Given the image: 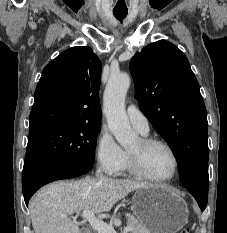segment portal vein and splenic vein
<instances>
[{
  "instance_id": "1",
  "label": "portal vein and splenic vein",
  "mask_w": 227,
  "mask_h": 233,
  "mask_svg": "<svg viewBox=\"0 0 227 233\" xmlns=\"http://www.w3.org/2000/svg\"><path fill=\"white\" fill-rule=\"evenodd\" d=\"M81 216L87 220L93 229H95L98 233H116L112 225H109L103 222L101 219L95 217L93 213L89 210L84 209ZM131 231L130 227H125L123 233H127Z\"/></svg>"
}]
</instances>
